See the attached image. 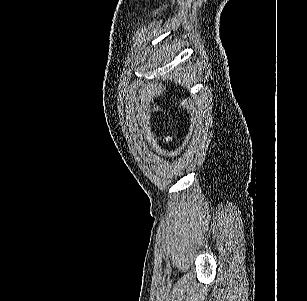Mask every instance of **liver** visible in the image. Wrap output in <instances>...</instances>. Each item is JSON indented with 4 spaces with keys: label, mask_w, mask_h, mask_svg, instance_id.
Masks as SVG:
<instances>
[{
    "label": "liver",
    "mask_w": 307,
    "mask_h": 301,
    "mask_svg": "<svg viewBox=\"0 0 307 301\" xmlns=\"http://www.w3.org/2000/svg\"><path fill=\"white\" fill-rule=\"evenodd\" d=\"M154 106H155V104H154ZM155 110H160V108H158V106H156Z\"/></svg>",
    "instance_id": "obj_1"
}]
</instances>
